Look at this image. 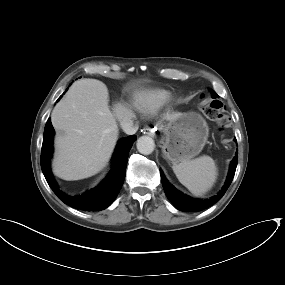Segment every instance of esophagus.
Here are the masks:
<instances>
[{
	"mask_svg": "<svg viewBox=\"0 0 285 285\" xmlns=\"http://www.w3.org/2000/svg\"><path fill=\"white\" fill-rule=\"evenodd\" d=\"M144 133L150 137H155L154 129L150 127L146 128Z\"/></svg>",
	"mask_w": 285,
	"mask_h": 285,
	"instance_id": "esophagus-1",
	"label": "esophagus"
}]
</instances>
